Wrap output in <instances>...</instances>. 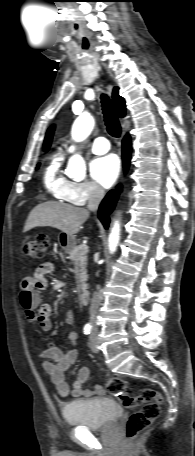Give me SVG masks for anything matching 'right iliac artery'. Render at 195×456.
Listing matches in <instances>:
<instances>
[{
    "label": "right iliac artery",
    "instance_id": "1",
    "mask_svg": "<svg viewBox=\"0 0 195 456\" xmlns=\"http://www.w3.org/2000/svg\"><path fill=\"white\" fill-rule=\"evenodd\" d=\"M91 329H92L91 324H90V323L86 324V325L84 326V329H83L84 334H85V335L90 334Z\"/></svg>",
    "mask_w": 195,
    "mask_h": 456
}]
</instances>
